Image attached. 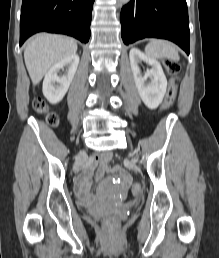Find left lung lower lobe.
<instances>
[{
  "mask_svg": "<svg viewBox=\"0 0 219 258\" xmlns=\"http://www.w3.org/2000/svg\"><path fill=\"white\" fill-rule=\"evenodd\" d=\"M121 36L128 45L154 37L168 39L189 54V19L186 0H131L121 10Z\"/></svg>",
  "mask_w": 219,
  "mask_h": 258,
  "instance_id": "left-lung-lower-lobe-1",
  "label": "left lung lower lobe"
}]
</instances>
